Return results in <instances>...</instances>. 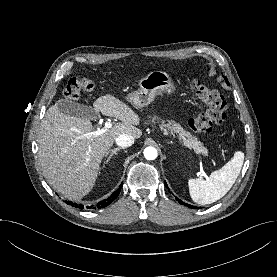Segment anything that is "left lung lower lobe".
<instances>
[{
  "mask_svg": "<svg viewBox=\"0 0 277 277\" xmlns=\"http://www.w3.org/2000/svg\"><path fill=\"white\" fill-rule=\"evenodd\" d=\"M165 185H166V187L168 188L166 182H165ZM176 200H177L180 204H184L185 206H188V207H190V208H195V207H193L192 205H189V204H186V203L182 202V201H181L180 199H178V198H176Z\"/></svg>",
  "mask_w": 277,
  "mask_h": 277,
  "instance_id": "0a47b994",
  "label": "left lung lower lobe"
}]
</instances>
